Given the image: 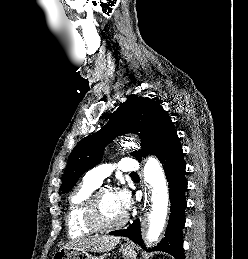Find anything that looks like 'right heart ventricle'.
Masks as SVG:
<instances>
[{
    "label": "right heart ventricle",
    "instance_id": "right-heart-ventricle-1",
    "mask_svg": "<svg viewBox=\"0 0 248 259\" xmlns=\"http://www.w3.org/2000/svg\"><path fill=\"white\" fill-rule=\"evenodd\" d=\"M97 188L98 185L84 178L70 194L66 215V224L70 236L82 237L95 231L86 224L84 210L88 198Z\"/></svg>",
    "mask_w": 248,
    "mask_h": 259
}]
</instances>
